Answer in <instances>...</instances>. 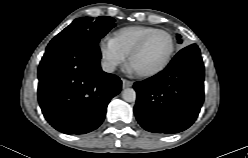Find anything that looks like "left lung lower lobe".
<instances>
[{
    "label": "left lung lower lobe",
    "instance_id": "0a47b994",
    "mask_svg": "<svg viewBox=\"0 0 248 158\" xmlns=\"http://www.w3.org/2000/svg\"><path fill=\"white\" fill-rule=\"evenodd\" d=\"M204 65L192 44L180 50L155 76L134 83V113L139 124L153 133L173 134L196 120L204 100Z\"/></svg>",
    "mask_w": 248,
    "mask_h": 158
}]
</instances>
